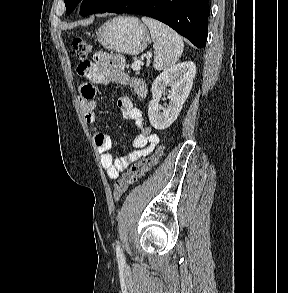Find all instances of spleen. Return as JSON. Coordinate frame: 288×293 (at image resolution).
I'll use <instances>...</instances> for the list:
<instances>
[{
	"label": "spleen",
	"instance_id": "obj_1",
	"mask_svg": "<svg viewBox=\"0 0 288 293\" xmlns=\"http://www.w3.org/2000/svg\"><path fill=\"white\" fill-rule=\"evenodd\" d=\"M142 21L148 26L154 42V68L161 71L172 67L182 55V38L173 29L155 19L142 17Z\"/></svg>",
	"mask_w": 288,
	"mask_h": 293
}]
</instances>
